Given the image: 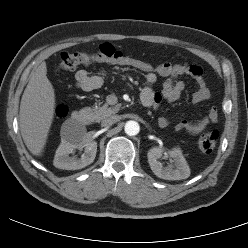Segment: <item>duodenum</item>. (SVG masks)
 Here are the masks:
<instances>
[{"mask_svg":"<svg viewBox=\"0 0 248 248\" xmlns=\"http://www.w3.org/2000/svg\"><path fill=\"white\" fill-rule=\"evenodd\" d=\"M143 104L147 107L150 106L147 101H143ZM90 121H91V116L88 112L85 111H76L72 116V122H74L79 126H85L89 124Z\"/></svg>","mask_w":248,"mask_h":248,"instance_id":"duodenum-1","label":"duodenum"}]
</instances>
